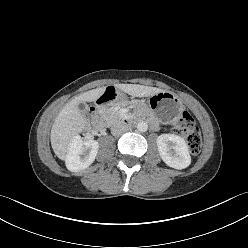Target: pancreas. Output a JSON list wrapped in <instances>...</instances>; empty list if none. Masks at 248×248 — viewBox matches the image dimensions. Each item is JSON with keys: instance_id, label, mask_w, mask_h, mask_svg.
I'll use <instances>...</instances> for the list:
<instances>
[{"instance_id": "1", "label": "pancreas", "mask_w": 248, "mask_h": 248, "mask_svg": "<svg viewBox=\"0 0 248 248\" xmlns=\"http://www.w3.org/2000/svg\"><path fill=\"white\" fill-rule=\"evenodd\" d=\"M121 118L120 113L115 107L107 108L104 112V119L108 125L113 124L115 121Z\"/></svg>"}]
</instances>
